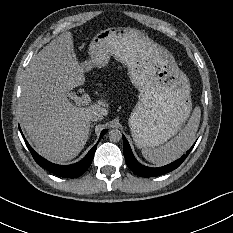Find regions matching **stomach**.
Returning <instances> with one entry per match:
<instances>
[{"mask_svg": "<svg viewBox=\"0 0 233 233\" xmlns=\"http://www.w3.org/2000/svg\"><path fill=\"white\" fill-rule=\"evenodd\" d=\"M85 72L105 67L110 58L125 65L139 99L129 117L138 148L152 149L176 135L192 110L190 82L172 54L144 32L109 27L91 39Z\"/></svg>", "mask_w": 233, "mask_h": 233, "instance_id": "obj_1", "label": "stomach"}]
</instances>
